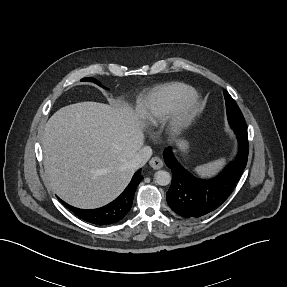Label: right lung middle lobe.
<instances>
[{
	"label": "right lung middle lobe",
	"instance_id": "dd1d6c3e",
	"mask_svg": "<svg viewBox=\"0 0 287 287\" xmlns=\"http://www.w3.org/2000/svg\"><path fill=\"white\" fill-rule=\"evenodd\" d=\"M83 80H84V81H92V82L98 84L99 86H102L96 79L91 78V77L85 78V79H83Z\"/></svg>",
	"mask_w": 287,
	"mask_h": 287
}]
</instances>
